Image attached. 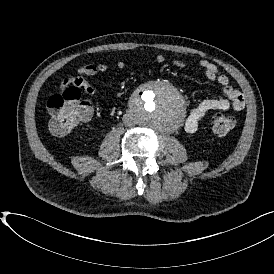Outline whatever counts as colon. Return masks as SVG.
<instances>
[{
	"label": "colon",
	"instance_id": "obj_1",
	"mask_svg": "<svg viewBox=\"0 0 274 274\" xmlns=\"http://www.w3.org/2000/svg\"><path fill=\"white\" fill-rule=\"evenodd\" d=\"M47 107L53 113L49 129L54 136L67 135L79 124L89 121L94 112L93 104L87 99H81L79 89L51 95ZM234 126V117L224 113H216L211 120V129L218 136L228 135Z\"/></svg>",
	"mask_w": 274,
	"mask_h": 274
}]
</instances>
